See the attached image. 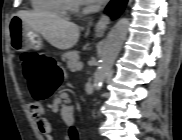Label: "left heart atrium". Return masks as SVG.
<instances>
[{"label": "left heart atrium", "instance_id": "1", "mask_svg": "<svg viewBox=\"0 0 182 140\" xmlns=\"http://www.w3.org/2000/svg\"><path fill=\"white\" fill-rule=\"evenodd\" d=\"M91 2H98V0H91Z\"/></svg>", "mask_w": 182, "mask_h": 140}]
</instances>
